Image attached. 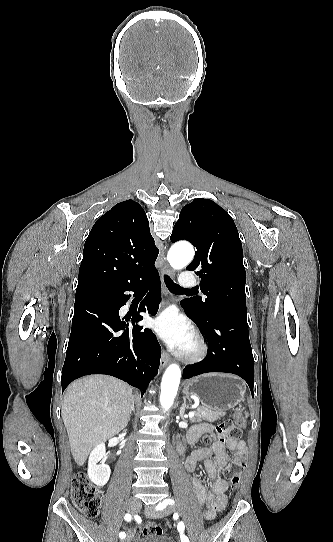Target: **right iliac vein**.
I'll return each mask as SVG.
<instances>
[{"label":"right iliac vein","mask_w":333,"mask_h":542,"mask_svg":"<svg viewBox=\"0 0 333 542\" xmlns=\"http://www.w3.org/2000/svg\"><path fill=\"white\" fill-rule=\"evenodd\" d=\"M140 506H141L140 500L133 497V498H130L128 501L127 510L131 512L132 514H137ZM131 539H132V530H129L127 537L121 542H130Z\"/></svg>","instance_id":"63e3f726"}]
</instances>
